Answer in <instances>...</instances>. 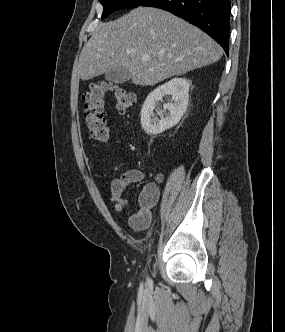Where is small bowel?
<instances>
[{
    "label": "small bowel",
    "mask_w": 285,
    "mask_h": 332,
    "mask_svg": "<svg viewBox=\"0 0 285 332\" xmlns=\"http://www.w3.org/2000/svg\"><path fill=\"white\" fill-rule=\"evenodd\" d=\"M145 174L138 169H129L123 172L119 177L114 178L110 183V200L117 212L123 211L128 206L127 187L130 184L143 181ZM164 180L163 173H157L155 180L148 183L139 195L138 212L130 217V224L137 229L146 228L151 221V209L157 203L160 196L159 184Z\"/></svg>",
    "instance_id": "obj_1"
}]
</instances>
